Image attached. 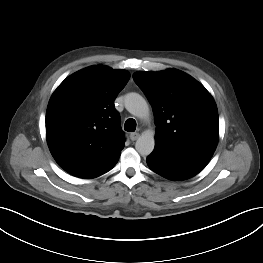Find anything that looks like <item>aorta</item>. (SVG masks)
I'll return each instance as SVG.
<instances>
[{"label":"aorta","mask_w":263,"mask_h":263,"mask_svg":"<svg viewBox=\"0 0 263 263\" xmlns=\"http://www.w3.org/2000/svg\"><path fill=\"white\" fill-rule=\"evenodd\" d=\"M125 108L127 111L141 119L149 116V107L146 100L138 93H129L125 97ZM155 147L154 133L144 132L136 141L135 148L142 156L150 155Z\"/></svg>","instance_id":"762f6f07"}]
</instances>
